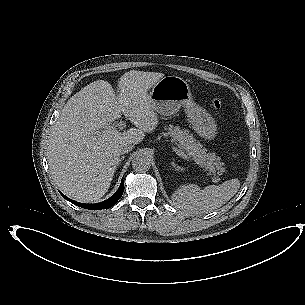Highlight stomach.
I'll return each instance as SVG.
<instances>
[{"label":"stomach","instance_id":"0dacf381","mask_svg":"<svg viewBox=\"0 0 305 305\" xmlns=\"http://www.w3.org/2000/svg\"><path fill=\"white\" fill-rule=\"evenodd\" d=\"M151 105L161 115H173L185 108L193 129L201 136L212 138L216 134L213 118L193 99L189 84L178 76H164L148 93Z\"/></svg>","mask_w":305,"mask_h":305}]
</instances>
